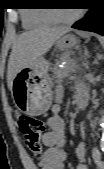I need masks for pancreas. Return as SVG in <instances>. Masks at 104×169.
<instances>
[{
  "instance_id": "1",
  "label": "pancreas",
  "mask_w": 104,
  "mask_h": 169,
  "mask_svg": "<svg viewBox=\"0 0 104 169\" xmlns=\"http://www.w3.org/2000/svg\"><path fill=\"white\" fill-rule=\"evenodd\" d=\"M61 62L64 63L63 68L57 69L55 71L58 80H62L68 77L70 74L74 73L76 70V62L70 58L68 54H65L61 58Z\"/></svg>"
}]
</instances>
